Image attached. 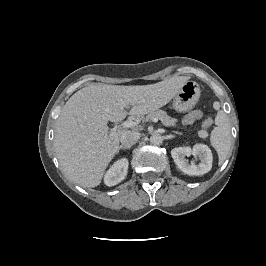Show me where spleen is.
Segmentation results:
<instances>
[{"mask_svg": "<svg viewBox=\"0 0 266 266\" xmlns=\"http://www.w3.org/2000/svg\"><path fill=\"white\" fill-rule=\"evenodd\" d=\"M216 127L213 128L210 141L219 157V164L226 160L231 148V131L227 115L218 111L215 118Z\"/></svg>", "mask_w": 266, "mask_h": 266, "instance_id": "1", "label": "spleen"}]
</instances>
